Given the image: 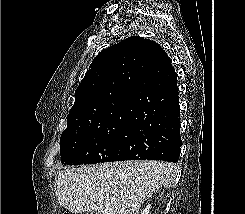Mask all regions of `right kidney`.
<instances>
[{
  "mask_svg": "<svg viewBox=\"0 0 245 214\" xmlns=\"http://www.w3.org/2000/svg\"><path fill=\"white\" fill-rule=\"evenodd\" d=\"M150 209H151V205L148 204L146 208L141 212V214H149Z\"/></svg>",
  "mask_w": 245,
  "mask_h": 214,
  "instance_id": "1",
  "label": "right kidney"
}]
</instances>
